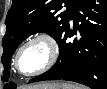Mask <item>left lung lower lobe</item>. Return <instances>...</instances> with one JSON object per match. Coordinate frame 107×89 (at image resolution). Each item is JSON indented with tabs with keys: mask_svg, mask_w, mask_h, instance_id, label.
Wrapping results in <instances>:
<instances>
[{
	"mask_svg": "<svg viewBox=\"0 0 107 89\" xmlns=\"http://www.w3.org/2000/svg\"><path fill=\"white\" fill-rule=\"evenodd\" d=\"M74 19L73 30L69 21ZM57 40L60 54L55 65L29 83L68 80L90 87H107V0H81ZM71 42L67 38L77 34Z\"/></svg>",
	"mask_w": 107,
	"mask_h": 89,
	"instance_id": "0a47b994",
	"label": "left lung lower lobe"
}]
</instances>
